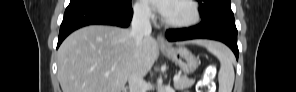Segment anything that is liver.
I'll list each match as a JSON object with an SVG mask.
<instances>
[{"mask_svg":"<svg viewBox=\"0 0 296 92\" xmlns=\"http://www.w3.org/2000/svg\"><path fill=\"white\" fill-rule=\"evenodd\" d=\"M157 54L151 36L144 37L136 48L129 29L87 26L73 32L59 47L58 79L63 92H122L132 72L145 76L150 71Z\"/></svg>","mask_w":296,"mask_h":92,"instance_id":"liver-1","label":"liver"}]
</instances>
